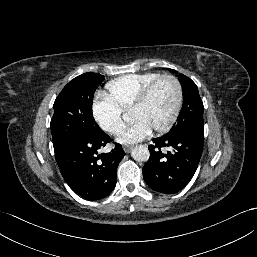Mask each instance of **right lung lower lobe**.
<instances>
[{
    "mask_svg": "<svg viewBox=\"0 0 257 257\" xmlns=\"http://www.w3.org/2000/svg\"><path fill=\"white\" fill-rule=\"evenodd\" d=\"M110 140L104 133L94 140H70L54 149L64 180L84 199H103L116 185V169L125 156L122 146L116 144L109 153L97 152Z\"/></svg>",
    "mask_w": 257,
    "mask_h": 257,
    "instance_id": "obj_1",
    "label": "right lung lower lobe"
}]
</instances>
